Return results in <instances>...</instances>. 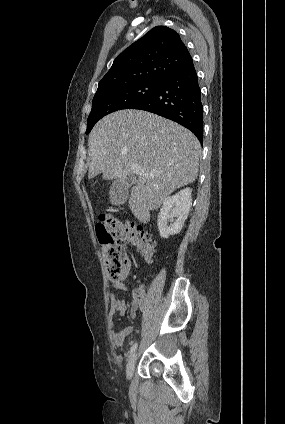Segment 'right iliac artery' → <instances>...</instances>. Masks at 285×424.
<instances>
[{"label":"right iliac artery","mask_w":285,"mask_h":424,"mask_svg":"<svg viewBox=\"0 0 285 424\" xmlns=\"http://www.w3.org/2000/svg\"><path fill=\"white\" fill-rule=\"evenodd\" d=\"M137 343H135L132 347H131V349H130V355H132L135 351H136V349H137Z\"/></svg>","instance_id":"obj_1"}]
</instances>
